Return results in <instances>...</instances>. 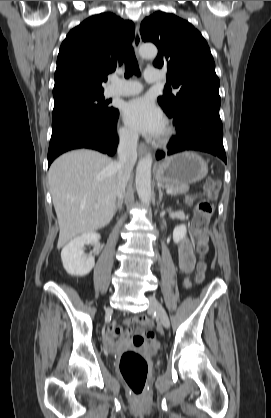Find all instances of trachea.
<instances>
[{
    "label": "trachea",
    "mask_w": 271,
    "mask_h": 418,
    "mask_svg": "<svg viewBox=\"0 0 271 418\" xmlns=\"http://www.w3.org/2000/svg\"><path fill=\"white\" fill-rule=\"evenodd\" d=\"M133 74L139 75L140 70L138 66V62L136 60L133 47H129L127 50V58L125 64V77L128 78Z\"/></svg>",
    "instance_id": "3493384b"
}]
</instances>
